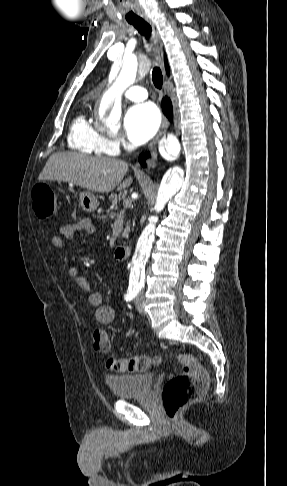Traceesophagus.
Here are the masks:
<instances>
[{
	"label": "esophagus",
	"mask_w": 287,
	"mask_h": 486,
	"mask_svg": "<svg viewBox=\"0 0 287 486\" xmlns=\"http://www.w3.org/2000/svg\"><path fill=\"white\" fill-rule=\"evenodd\" d=\"M144 20L153 29L154 41H155L154 52H155L157 60L159 61L162 72H163V74H165L163 42H162V39L160 37L159 31H158L156 25L148 17H144ZM168 126H169V122L166 118H164L158 133L156 134V136L154 137V139L151 141V143L148 146V150L151 152V159L147 160V164H148L149 167H152L155 164V161L157 159V144H158V141L161 138V136H163L166 133Z\"/></svg>",
	"instance_id": "1"
}]
</instances>
